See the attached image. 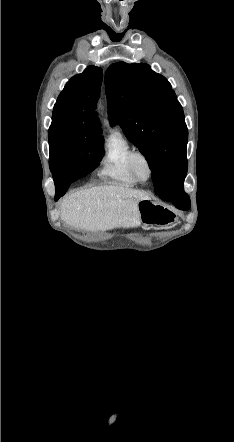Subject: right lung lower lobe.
Listing matches in <instances>:
<instances>
[{"mask_svg":"<svg viewBox=\"0 0 234 442\" xmlns=\"http://www.w3.org/2000/svg\"><path fill=\"white\" fill-rule=\"evenodd\" d=\"M71 168H63L53 172V179L56 187L55 201L63 196L72 183L69 179Z\"/></svg>","mask_w":234,"mask_h":442,"instance_id":"98d812e1","label":"right lung lower lobe"}]
</instances>
